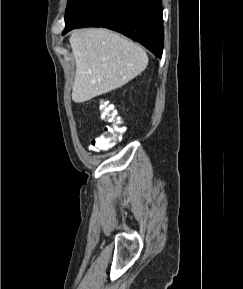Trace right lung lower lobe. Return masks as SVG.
<instances>
[{"label": "right lung lower lobe", "instance_id": "right-lung-lower-lobe-1", "mask_svg": "<svg viewBox=\"0 0 243 289\" xmlns=\"http://www.w3.org/2000/svg\"><path fill=\"white\" fill-rule=\"evenodd\" d=\"M65 23L63 34L78 27H106L141 43L157 57L162 56L161 0H81Z\"/></svg>", "mask_w": 243, "mask_h": 289}]
</instances>
